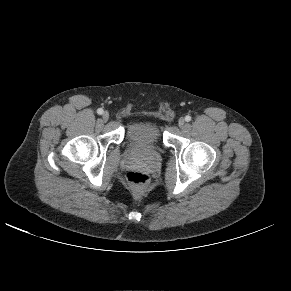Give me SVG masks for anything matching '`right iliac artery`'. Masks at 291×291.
<instances>
[{
    "instance_id": "82829eb1",
    "label": "right iliac artery",
    "mask_w": 291,
    "mask_h": 291,
    "mask_svg": "<svg viewBox=\"0 0 291 291\" xmlns=\"http://www.w3.org/2000/svg\"><path fill=\"white\" fill-rule=\"evenodd\" d=\"M97 113H98L99 115L103 114V109H102V108H99V109L97 110Z\"/></svg>"
}]
</instances>
